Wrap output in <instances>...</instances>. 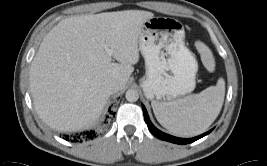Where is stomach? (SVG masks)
Masks as SVG:
<instances>
[{"label":"stomach","instance_id":"0dacf381","mask_svg":"<svg viewBox=\"0 0 267 166\" xmlns=\"http://www.w3.org/2000/svg\"><path fill=\"white\" fill-rule=\"evenodd\" d=\"M139 50L146 69L140 86L147 99L170 102L194 90L198 63L185 45L184 28L178 20L153 17L146 21Z\"/></svg>","mask_w":267,"mask_h":166}]
</instances>
